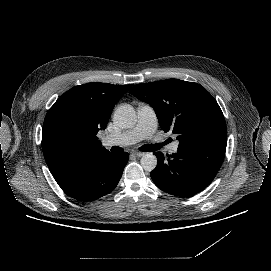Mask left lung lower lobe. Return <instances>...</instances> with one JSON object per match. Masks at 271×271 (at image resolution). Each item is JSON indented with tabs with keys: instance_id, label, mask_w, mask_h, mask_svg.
<instances>
[{
	"instance_id": "1",
	"label": "left lung lower lobe",
	"mask_w": 271,
	"mask_h": 271,
	"mask_svg": "<svg viewBox=\"0 0 271 271\" xmlns=\"http://www.w3.org/2000/svg\"><path fill=\"white\" fill-rule=\"evenodd\" d=\"M226 147L202 144L197 147L179 146L177 153H154L157 167L151 172L155 185L164 192L189 197L204 190L216 176Z\"/></svg>"
}]
</instances>
